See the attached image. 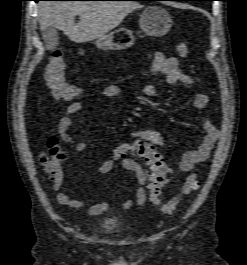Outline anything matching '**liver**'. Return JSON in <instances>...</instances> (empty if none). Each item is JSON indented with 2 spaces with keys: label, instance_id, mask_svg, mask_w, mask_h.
<instances>
[{
  "label": "liver",
  "instance_id": "obj_1",
  "mask_svg": "<svg viewBox=\"0 0 247 265\" xmlns=\"http://www.w3.org/2000/svg\"><path fill=\"white\" fill-rule=\"evenodd\" d=\"M132 1H42L38 3L41 31L52 26L75 43L104 37L133 10L141 8ZM80 21L76 24L75 17Z\"/></svg>",
  "mask_w": 247,
  "mask_h": 265
}]
</instances>
